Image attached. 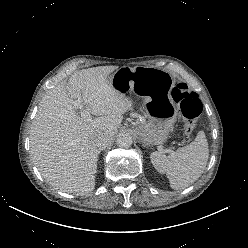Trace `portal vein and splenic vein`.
I'll return each instance as SVG.
<instances>
[{"label": "portal vein and splenic vein", "instance_id": "1", "mask_svg": "<svg viewBox=\"0 0 248 248\" xmlns=\"http://www.w3.org/2000/svg\"><path fill=\"white\" fill-rule=\"evenodd\" d=\"M75 105H76V106H80V101H76V102H75ZM80 108H81V107H80ZM81 117L84 118V119H86V120H90V119H91L90 113H89L88 111H86V110H83V111L81 112Z\"/></svg>", "mask_w": 248, "mask_h": 248}]
</instances>
